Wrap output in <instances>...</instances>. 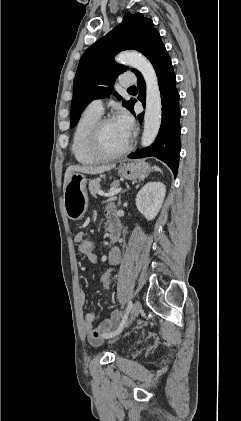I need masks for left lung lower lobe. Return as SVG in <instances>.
Returning a JSON list of instances; mask_svg holds the SVG:
<instances>
[{"instance_id":"0a47b994","label":"left lung lower lobe","mask_w":241,"mask_h":421,"mask_svg":"<svg viewBox=\"0 0 241 421\" xmlns=\"http://www.w3.org/2000/svg\"><path fill=\"white\" fill-rule=\"evenodd\" d=\"M145 56L150 59L158 76L162 99V121L155 142L147 148L130 154L129 158L157 157L164 161L176 176L181 149L179 94L176 88V77L171 59L159 33L153 38ZM135 74L138 77L139 100L143 102L145 98V82L140 72L137 71ZM131 112L134 114L133 108ZM137 118L141 122L143 113L139 114Z\"/></svg>"}]
</instances>
